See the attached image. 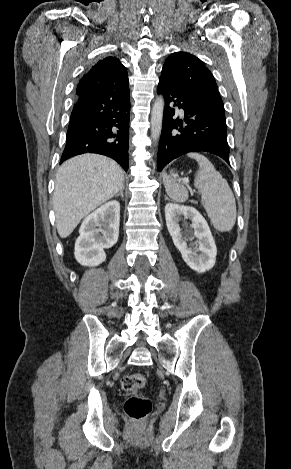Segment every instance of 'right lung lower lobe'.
I'll list each match as a JSON object with an SVG mask.
<instances>
[{"mask_svg": "<svg viewBox=\"0 0 291 469\" xmlns=\"http://www.w3.org/2000/svg\"><path fill=\"white\" fill-rule=\"evenodd\" d=\"M130 94L105 90L76 101L61 163L83 153H98L128 170Z\"/></svg>", "mask_w": 291, "mask_h": 469, "instance_id": "98d812e1", "label": "right lung lower lobe"}]
</instances>
